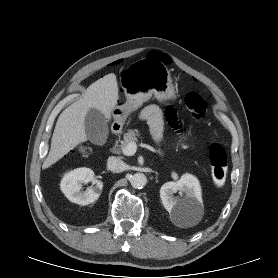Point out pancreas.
I'll return each mask as SVG.
<instances>
[{
    "instance_id": "cf45deb5",
    "label": "pancreas",
    "mask_w": 278,
    "mask_h": 278,
    "mask_svg": "<svg viewBox=\"0 0 278 278\" xmlns=\"http://www.w3.org/2000/svg\"><path fill=\"white\" fill-rule=\"evenodd\" d=\"M139 131L137 129H129L127 133L124 134L123 141L121 142L120 149L122 150L125 146H127L130 142L138 141L137 137H139ZM159 155H163L161 150H158Z\"/></svg>"
}]
</instances>
